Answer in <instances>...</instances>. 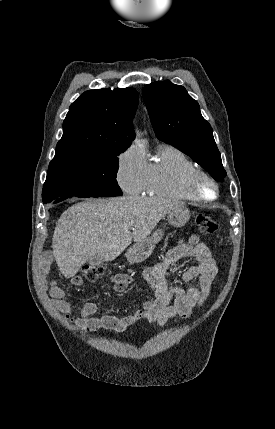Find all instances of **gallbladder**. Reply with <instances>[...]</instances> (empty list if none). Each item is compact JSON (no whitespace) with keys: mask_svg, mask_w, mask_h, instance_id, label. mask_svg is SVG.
I'll return each mask as SVG.
<instances>
[{"mask_svg":"<svg viewBox=\"0 0 275 429\" xmlns=\"http://www.w3.org/2000/svg\"><path fill=\"white\" fill-rule=\"evenodd\" d=\"M91 266H98L100 264L103 263V258L102 257H94L93 259H91L89 261Z\"/></svg>","mask_w":275,"mask_h":429,"instance_id":"obj_1","label":"gallbladder"}]
</instances>
